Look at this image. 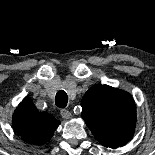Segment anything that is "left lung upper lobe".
I'll list each match as a JSON object with an SVG mask.
<instances>
[{
  "label": "left lung upper lobe",
  "instance_id": "obj_1",
  "mask_svg": "<svg viewBox=\"0 0 155 155\" xmlns=\"http://www.w3.org/2000/svg\"><path fill=\"white\" fill-rule=\"evenodd\" d=\"M82 118L102 145L117 148L132 137L136 106L132 96L108 85H94L81 101Z\"/></svg>",
  "mask_w": 155,
  "mask_h": 155
}]
</instances>
